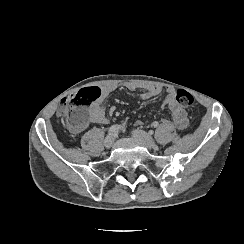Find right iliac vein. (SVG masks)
Segmentation results:
<instances>
[{"label": "right iliac vein", "mask_w": 244, "mask_h": 244, "mask_svg": "<svg viewBox=\"0 0 244 244\" xmlns=\"http://www.w3.org/2000/svg\"><path fill=\"white\" fill-rule=\"evenodd\" d=\"M114 142V137L113 135L107 136L104 140V146L106 148H110Z\"/></svg>", "instance_id": "obj_1"}]
</instances>
